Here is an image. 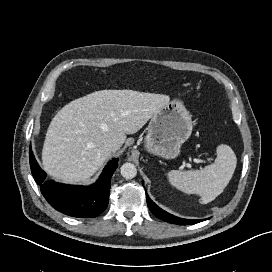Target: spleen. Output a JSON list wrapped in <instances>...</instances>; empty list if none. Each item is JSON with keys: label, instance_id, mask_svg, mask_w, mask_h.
Returning a JSON list of instances; mask_svg holds the SVG:
<instances>
[{"label": "spleen", "instance_id": "1", "mask_svg": "<svg viewBox=\"0 0 272 272\" xmlns=\"http://www.w3.org/2000/svg\"><path fill=\"white\" fill-rule=\"evenodd\" d=\"M216 152L214 163L202 170L168 172L169 182L182 192L200 195L204 204L213 201L228 185L237 164L230 146L221 144Z\"/></svg>", "mask_w": 272, "mask_h": 272}]
</instances>
